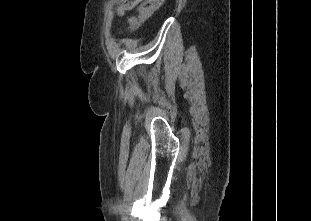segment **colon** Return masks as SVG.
I'll return each mask as SVG.
<instances>
[{
	"label": "colon",
	"mask_w": 311,
	"mask_h": 221,
	"mask_svg": "<svg viewBox=\"0 0 311 221\" xmlns=\"http://www.w3.org/2000/svg\"><path fill=\"white\" fill-rule=\"evenodd\" d=\"M165 0H142L138 8V14L129 21V29L137 30L143 22L150 18L164 3ZM135 0L117 1L116 12H129L130 8H136Z\"/></svg>",
	"instance_id": "colon-1"
}]
</instances>
